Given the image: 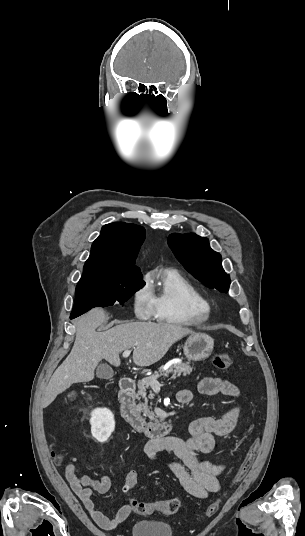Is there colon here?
<instances>
[{"label":"colon","instance_id":"colon-1","mask_svg":"<svg viewBox=\"0 0 305 536\" xmlns=\"http://www.w3.org/2000/svg\"><path fill=\"white\" fill-rule=\"evenodd\" d=\"M213 363L217 369L227 370L233 364V360L228 355L220 354L214 357ZM258 446H259V440L255 439L253 443L251 444L250 448L248 449L245 455V458L243 459L241 465L239 466L238 470L236 471L233 477L234 483L241 481L249 472L253 464L255 455L257 453ZM125 483L129 487L134 486L136 483L134 475L132 474L127 475ZM220 501H221V497H218L216 501H214L208 506L205 512V515L207 517H211L217 513L219 509ZM130 505L132 509L138 514L149 515L153 513H161V514L170 516V515L175 514L178 511L180 507V502L176 498L156 499V500L149 501V502H144L136 498H131Z\"/></svg>","mask_w":305,"mask_h":536}]
</instances>
